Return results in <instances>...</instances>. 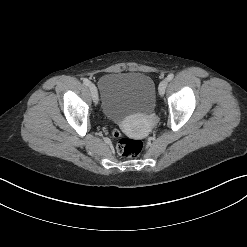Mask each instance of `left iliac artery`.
<instances>
[{"label":"left iliac artery","mask_w":247,"mask_h":247,"mask_svg":"<svg viewBox=\"0 0 247 247\" xmlns=\"http://www.w3.org/2000/svg\"><path fill=\"white\" fill-rule=\"evenodd\" d=\"M173 78H174V74H173V73H170V74L167 76V80H168V81H171Z\"/></svg>","instance_id":"44dca946"}]
</instances>
